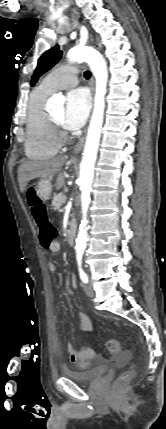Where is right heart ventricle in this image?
Returning a JSON list of instances; mask_svg holds the SVG:
<instances>
[{
    "mask_svg": "<svg viewBox=\"0 0 166 429\" xmlns=\"http://www.w3.org/2000/svg\"><path fill=\"white\" fill-rule=\"evenodd\" d=\"M50 93L38 87L29 96L26 112L25 153L28 158L33 160L48 159L54 156L59 149V143L53 136L45 110V101Z\"/></svg>",
    "mask_w": 166,
    "mask_h": 429,
    "instance_id": "obj_1",
    "label": "right heart ventricle"
}]
</instances>
